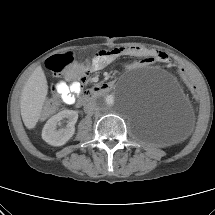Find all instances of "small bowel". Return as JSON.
<instances>
[{
  "label": "small bowel",
  "instance_id": "1",
  "mask_svg": "<svg viewBox=\"0 0 215 215\" xmlns=\"http://www.w3.org/2000/svg\"><path fill=\"white\" fill-rule=\"evenodd\" d=\"M126 56L139 58V60L127 63L125 65L127 69L169 61V56L165 52L139 46L115 47L109 50L99 51L86 62L87 70L80 77L71 83H66L63 80L57 83L56 90L62 101L68 105L74 104L77 96L83 89V83L90 73L99 71L114 60Z\"/></svg>",
  "mask_w": 215,
  "mask_h": 215
}]
</instances>
